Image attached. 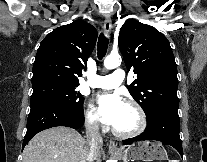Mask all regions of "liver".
I'll use <instances>...</instances> for the list:
<instances>
[{"instance_id": "6515ba94", "label": "liver", "mask_w": 207, "mask_h": 162, "mask_svg": "<svg viewBox=\"0 0 207 162\" xmlns=\"http://www.w3.org/2000/svg\"><path fill=\"white\" fill-rule=\"evenodd\" d=\"M88 142L74 129L52 127L36 134L23 151V162H85ZM102 153L98 151L97 160Z\"/></svg>"}]
</instances>
